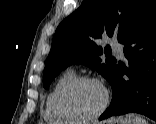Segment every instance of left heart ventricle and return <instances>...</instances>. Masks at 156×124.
<instances>
[{"label":"left heart ventricle","mask_w":156,"mask_h":124,"mask_svg":"<svg viewBox=\"0 0 156 124\" xmlns=\"http://www.w3.org/2000/svg\"><path fill=\"white\" fill-rule=\"evenodd\" d=\"M103 91L93 83H83L73 88L65 98L66 107L81 117L94 114L103 103Z\"/></svg>","instance_id":"b2bd125f"}]
</instances>
